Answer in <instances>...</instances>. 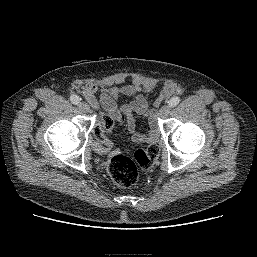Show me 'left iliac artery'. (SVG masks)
<instances>
[{"label": "left iliac artery", "instance_id": "44dca946", "mask_svg": "<svg viewBox=\"0 0 257 257\" xmlns=\"http://www.w3.org/2000/svg\"><path fill=\"white\" fill-rule=\"evenodd\" d=\"M179 102H180V98L177 97V96H174V97H172V98L170 99V101H169L168 103H169V105H170L171 107H174V106L178 105Z\"/></svg>", "mask_w": 257, "mask_h": 257}]
</instances>
